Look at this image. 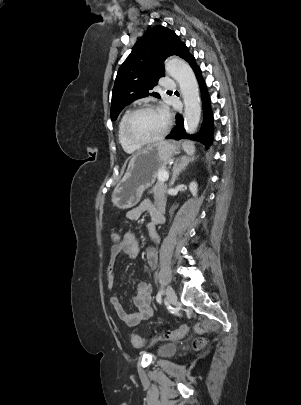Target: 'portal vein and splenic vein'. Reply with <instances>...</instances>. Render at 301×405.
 <instances>
[{
  "label": "portal vein and splenic vein",
  "mask_w": 301,
  "mask_h": 405,
  "mask_svg": "<svg viewBox=\"0 0 301 405\" xmlns=\"http://www.w3.org/2000/svg\"><path fill=\"white\" fill-rule=\"evenodd\" d=\"M169 178V173L167 171H161L158 174V180L159 181H166Z\"/></svg>",
  "instance_id": "obj_1"
}]
</instances>
